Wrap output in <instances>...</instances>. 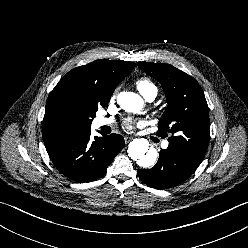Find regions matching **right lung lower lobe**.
I'll use <instances>...</instances> for the list:
<instances>
[{
	"label": "right lung lower lobe",
	"instance_id": "1",
	"mask_svg": "<svg viewBox=\"0 0 248 248\" xmlns=\"http://www.w3.org/2000/svg\"><path fill=\"white\" fill-rule=\"evenodd\" d=\"M90 132L91 129L69 132L44 141L54 166L75 182H90L102 177L124 147V139L119 134L90 139Z\"/></svg>",
	"mask_w": 248,
	"mask_h": 248
}]
</instances>
